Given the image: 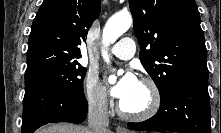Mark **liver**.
I'll return each instance as SVG.
<instances>
[{
	"mask_svg": "<svg viewBox=\"0 0 221 133\" xmlns=\"http://www.w3.org/2000/svg\"><path fill=\"white\" fill-rule=\"evenodd\" d=\"M37 133H89V129L68 123H58L39 129Z\"/></svg>",
	"mask_w": 221,
	"mask_h": 133,
	"instance_id": "6515ba94",
	"label": "liver"
}]
</instances>
